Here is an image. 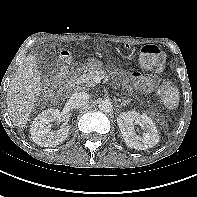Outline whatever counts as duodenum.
Here are the masks:
<instances>
[{"label":"duodenum","instance_id":"duodenum-1","mask_svg":"<svg viewBox=\"0 0 197 197\" xmlns=\"http://www.w3.org/2000/svg\"><path fill=\"white\" fill-rule=\"evenodd\" d=\"M74 84H75V81H74L73 79L70 80V81L67 83L65 90H66L67 92H70V91L73 89Z\"/></svg>","mask_w":197,"mask_h":197}]
</instances>
